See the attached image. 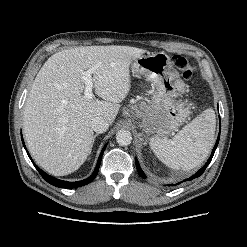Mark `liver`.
<instances>
[{
  "label": "liver",
  "mask_w": 247,
  "mask_h": 247,
  "mask_svg": "<svg viewBox=\"0 0 247 247\" xmlns=\"http://www.w3.org/2000/svg\"><path fill=\"white\" fill-rule=\"evenodd\" d=\"M146 50L129 46H86L53 54L38 72L23 115L28 149L48 173L76 171L91 153L95 117L115 120L119 103L131 88L130 65ZM92 73L93 88L103 100L84 96V70Z\"/></svg>",
  "instance_id": "obj_1"
}]
</instances>
